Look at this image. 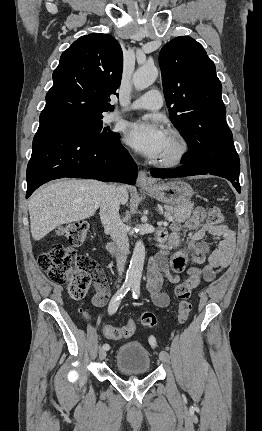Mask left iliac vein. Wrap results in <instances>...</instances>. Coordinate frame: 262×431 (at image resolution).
<instances>
[{"mask_svg":"<svg viewBox=\"0 0 262 431\" xmlns=\"http://www.w3.org/2000/svg\"><path fill=\"white\" fill-rule=\"evenodd\" d=\"M159 359L161 362L168 364L169 363V354L165 350H162L159 353Z\"/></svg>","mask_w":262,"mask_h":431,"instance_id":"left-iliac-vein-1","label":"left iliac vein"}]
</instances>
